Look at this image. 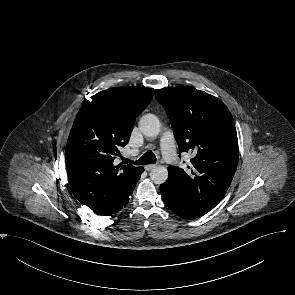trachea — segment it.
I'll return each instance as SVG.
<instances>
[{
	"instance_id": "1",
	"label": "trachea",
	"mask_w": 295,
	"mask_h": 295,
	"mask_svg": "<svg viewBox=\"0 0 295 295\" xmlns=\"http://www.w3.org/2000/svg\"><path fill=\"white\" fill-rule=\"evenodd\" d=\"M123 161L124 163L130 162V160L127 158H124ZM154 163H156V156L151 150L147 151L140 159L134 162V164H137V165L154 164Z\"/></svg>"
}]
</instances>
